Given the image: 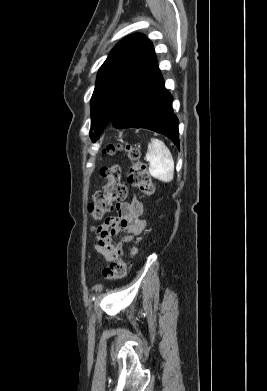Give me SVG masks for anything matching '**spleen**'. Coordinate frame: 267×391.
Listing matches in <instances>:
<instances>
[{
    "label": "spleen",
    "mask_w": 267,
    "mask_h": 391,
    "mask_svg": "<svg viewBox=\"0 0 267 391\" xmlns=\"http://www.w3.org/2000/svg\"><path fill=\"white\" fill-rule=\"evenodd\" d=\"M146 159L149 161V173L152 177L168 183L174 177V160L167 146L157 138H151Z\"/></svg>",
    "instance_id": "spleen-1"
}]
</instances>
